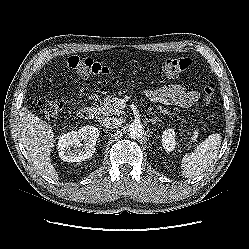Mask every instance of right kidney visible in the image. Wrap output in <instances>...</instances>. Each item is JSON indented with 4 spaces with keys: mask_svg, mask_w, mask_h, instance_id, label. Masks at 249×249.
<instances>
[{
    "mask_svg": "<svg viewBox=\"0 0 249 249\" xmlns=\"http://www.w3.org/2000/svg\"><path fill=\"white\" fill-rule=\"evenodd\" d=\"M98 137L99 130L94 126H85L78 131L65 133L58 141L59 157L66 162L89 159L95 152Z\"/></svg>",
    "mask_w": 249,
    "mask_h": 249,
    "instance_id": "obj_1",
    "label": "right kidney"
}]
</instances>
